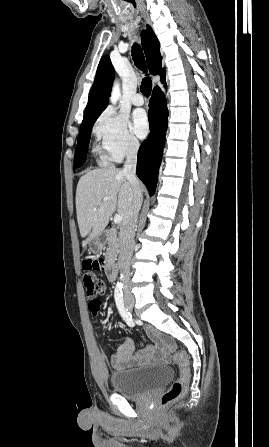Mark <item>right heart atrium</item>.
<instances>
[{"instance_id":"right-heart-atrium-1","label":"right heart atrium","mask_w":269,"mask_h":447,"mask_svg":"<svg viewBox=\"0 0 269 447\" xmlns=\"http://www.w3.org/2000/svg\"><path fill=\"white\" fill-rule=\"evenodd\" d=\"M93 131L112 160L119 161L135 153L139 147V141L130 131L127 119L114 107H108L100 114Z\"/></svg>"}]
</instances>
